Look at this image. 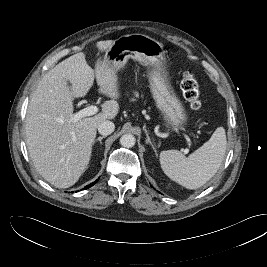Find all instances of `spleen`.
Listing matches in <instances>:
<instances>
[{
    "mask_svg": "<svg viewBox=\"0 0 267 267\" xmlns=\"http://www.w3.org/2000/svg\"><path fill=\"white\" fill-rule=\"evenodd\" d=\"M227 140L225 129L218 127L211 138L188 157L177 150L162 151L159 156L163 172L187 189H197L218 171L224 159Z\"/></svg>",
    "mask_w": 267,
    "mask_h": 267,
    "instance_id": "obj_1",
    "label": "spleen"
}]
</instances>
